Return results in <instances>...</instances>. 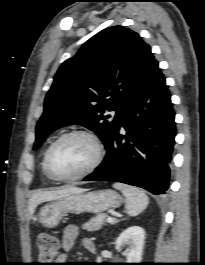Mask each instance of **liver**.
<instances>
[{"instance_id": "obj_1", "label": "liver", "mask_w": 205, "mask_h": 265, "mask_svg": "<svg viewBox=\"0 0 205 265\" xmlns=\"http://www.w3.org/2000/svg\"><path fill=\"white\" fill-rule=\"evenodd\" d=\"M86 191V189L83 188H78L75 186H65L61 189L58 190H53V191H38L35 192L30 200H29V219L35 212L36 207L43 203V202H48L52 200H57L63 197H66L68 195L74 194V193H81Z\"/></svg>"}]
</instances>
